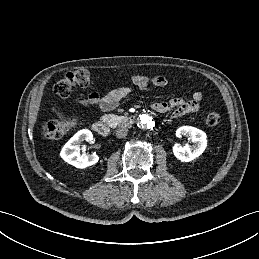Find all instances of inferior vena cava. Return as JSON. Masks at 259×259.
Masks as SVG:
<instances>
[{"label":"inferior vena cava","instance_id":"1","mask_svg":"<svg viewBox=\"0 0 259 259\" xmlns=\"http://www.w3.org/2000/svg\"><path fill=\"white\" fill-rule=\"evenodd\" d=\"M127 134H128V129L126 128H121L116 130V137L119 139L126 137Z\"/></svg>","mask_w":259,"mask_h":259}]
</instances>
